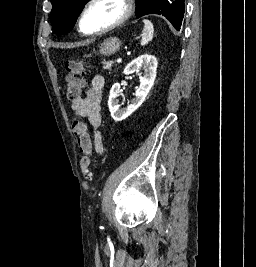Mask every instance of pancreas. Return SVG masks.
<instances>
[{
	"mask_svg": "<svg viewBox=\"0 0 256 267\" xmlns=\"http://www.w3.org/2000/svg\"><path fill=\"white\" fill-rule=\"evenodd\" d=\"M103 64H105L104 70H110L113 62H103Z\"/></svg>",
	"mask_w": 256,
	"mask_h": 267,
	"instance_id": "obj_1",
	"label": "pancreas"
}]
</instances>
